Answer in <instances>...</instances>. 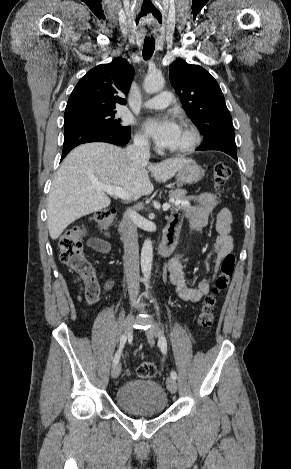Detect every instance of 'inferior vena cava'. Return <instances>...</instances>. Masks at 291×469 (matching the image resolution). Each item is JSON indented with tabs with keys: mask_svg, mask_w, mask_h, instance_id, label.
<instances>
[{
	"mask_svg": "<svg viewBox=\"0 0 291 469\" xmlns=\"http://www.w3.org/2000/svg\"><path fill=\"white\" fill-rule=\"evenodd\" d=\"M127 156L134 162L147 163L150 157V147L146 139L135 137L133 144L126 148ZM135 212L128 209L123 216L124 261L127 287L132 305H139V248L137 227L134 222Z\"/></svg>",
	"mask_w": 291,
	"mask_h": 469,
	"instance_id": "1",
	"label": "inferior vena cava"
}]
</instances>
